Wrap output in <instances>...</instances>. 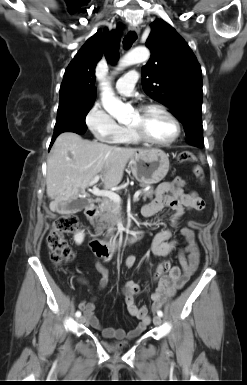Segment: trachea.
I'll list each match as a JSON object with an SVG mask.
<instances>
[{"mask_svg": "<svg viewBox=\"0 0 247 385\" xmlns=\"http://www.w3.org/2000/svg\"><path fill=\"white\" fill-rule=\"evenodd\" d=\"M137 39V35L134 31H129L123 40V45L126 49L130 48Z\"/></svg>", "mask_w": 247, "mask_h": 385, "instance_id": "trachea-1", "label": "trachea"}]
</instances>
